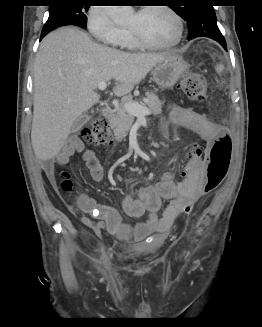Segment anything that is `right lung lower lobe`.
<instances>
[{
	"label": "right lung lower lobe",
	"mask_w": 262,
	"mask_h": 327,
	"mask_svg": "<svg viewBox=\"0 0 262 327\" xmlns=\"http://www.w3.org/2000/svg\"><path fill=\"white\" fill-rule=\"evenodd\" d=\"M81 27V26H80ZM52 30H48V31H42L41 33V37L40 39H42L44 36H46L49 32H51Z\"/></svg>",
	"instance_id": "right-lung-lower-lobe-1"
}]
</instances>
